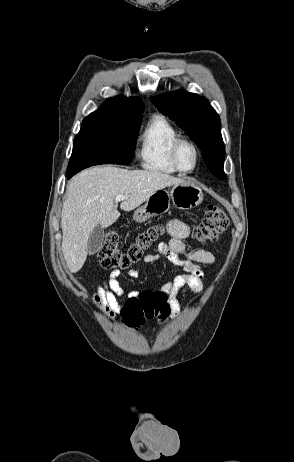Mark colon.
<instances>
[{
    "mask_svg": "<svg viewBox=\"0 0 294 462\" xmlns=\"http://www.w3.org/2000/svg\"><path fill=\"white\" fill-rule=\"evenodd\" d=\"M229 226V218L219 205H210L201 222L193 229L195 239L201 243L215 241ZM160 227H150L139 234L136 240L123 251L119 247L116 231L107 234L103 246L97 253L100 265L107 270H124L140 261L143 253L161 233ZM171 314L170 305L164 293L145 290L129 297L122 310L123 321L131 327H140L146 320H166Z\"/></svg>",
    "mask_w": 294,
    "mask_h": 462,
    "instance_id": "obj_1",
    "label": "colon"
}]
</instances>
